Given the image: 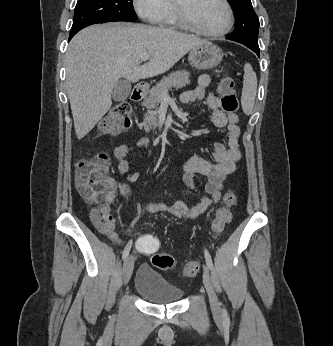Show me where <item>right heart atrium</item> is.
<instances>
[{
	"label": "right heart atrium",
	"instance_id": "obj_1",
	"mask_svg": "<svg viewBox=\"0 0 333 346\" xmlns=\"http://www.w3.org/2000/svg\"><path fill=\"white\" fill-rule=\"evenodd\" d=\"M137 14L146 22L159 23L168 9V0H132Z\"/></svg>",
	"mask_w": 333,
	"mask_h": 346
}]
</instances>
